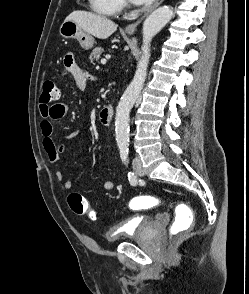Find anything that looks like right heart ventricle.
Masks as SVG:
<instances>
[{
    "mask_svg": "<svg viewBox=\"0 0 249 294\" xmlns=\"http://www.w3.org/2000/svg\"><path fill=\"white\" fill-rule=\"evenodd\" d=\"M94 12L103 16H115L119 14L122 3L121 0H89Z\"/></svg>",
    "mask_w": 249,
    "mask_h": 294,
    "instance_id": "e07e8e85",
    "label": "right heart ventricle"
}]
</instances>
